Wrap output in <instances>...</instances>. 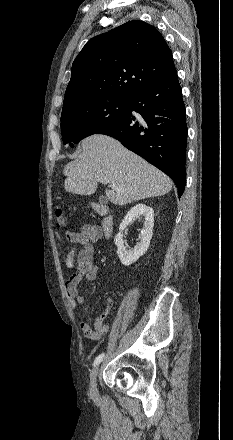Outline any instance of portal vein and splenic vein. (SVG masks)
<instances>
[{"instance_id": "obj_1", "label": "portal vein and splenic vein", "mask_w": 233, "mask_h": 440, "mask_svg": "<svg viewBox=\"0 0 233 440\" xmlns=\"http://www.w3.org/2000/svg\"><path fill=\"white\" fill-rule=\"evenodd\" d=\"M111 188H112V189H116L117 187H116V185L112 184V185H111Z\"/></svg>"}]
</instances>
